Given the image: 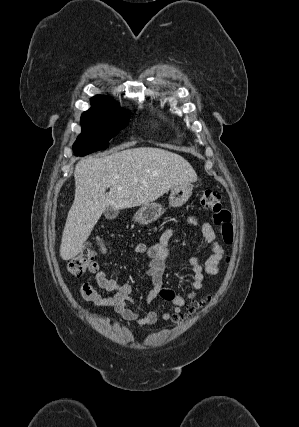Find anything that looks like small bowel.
<instances>
[{
    "mask_svg": "<svg viewBox=\"0 0 299 427\" xmlns=\"http://www.w3.org/2000/svg\"><path fill=\"white\" fill-rule=\"evenodd\" d=\"M188 223L200 226L206 240L211 244L212 253L203 262L197 257H191L189 264L193 272L191 289L183 295L176 294L173 289L165 287L163 275L165 261L169 255L170 240L173 229L164 230L154 244L138 243L134 251L147 258L146 274L150 277L153 288L147 296V303H151L157 297H161L170 305L169 311H147L142 312L131 307L133 301V288L129 283L118 282L106 276L100 270L98 262H93L89 270L93 276L88 277L80 287L82 297L89 302L101 307L112 308L123 319L134 321L139 325H152L158 320L169 321L174 319L188 303L195 301L203 288L205 275L215 276L219 272L220 263L224 257V249L217 242L215 233L209 223H200L196 216H189ZM93 283L101 289L113 292L112 295L104 296L97 292Z\"/></svg>",
    "mask_w": 299,
    "mask_h": 427,
    "instance_id": "c3829d8e",
    "label": "small bowel"
}]
</instances>
